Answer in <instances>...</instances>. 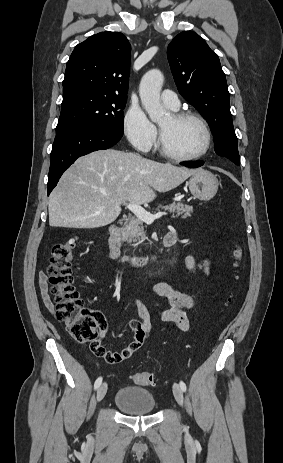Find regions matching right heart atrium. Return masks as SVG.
Returning <instances> with one entry per match:
<instances>
[{"label": "right heart atrium", "instance_id": "d8ad5b80", "mask_svg": "<svg viewBox=\"0 0 283 463\" xmlns=\"http://www.w3.org/2000/svg\"><path fill=\"white\" fill-rule=\"evenodd\" d=\"M124 132L128 141L140 151H148L156 140V128L138 105H132L124 118Z\"/></svg>", "mask_w": 283, "mask_h": 463}]
</instances>
